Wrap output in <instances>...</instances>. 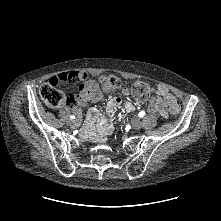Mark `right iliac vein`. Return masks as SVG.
Here are the masks:
<instances>
[{
  "label": "right iliac vein",
  "instance_id": "right-iliac-vein-1",
  "mask_svg": "<svg viewBox=\"0 0 221 221\" xmlns=\"http://www.w3.org/2000/svg\"><path fill=\"white\" fill-rule=\"evenodd\" d=\"M79 122H80L79 119L72 120L69 122V126L71 128H75L79 124Z\"/></svg>",
  "mask_w": 221,
  "mask_h": 221
}]
</instances>
